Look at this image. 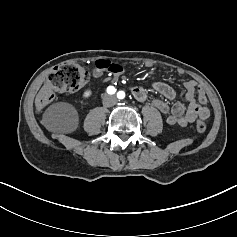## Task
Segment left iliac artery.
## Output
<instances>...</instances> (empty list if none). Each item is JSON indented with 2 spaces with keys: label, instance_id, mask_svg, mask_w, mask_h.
Returning <instances> with one entry per match:
<instances>
[{
  "label": "left iliac artery",
  "instance_id": "44dca946",
  "mask_svg": "<svg viewBox=\"0 0 237 237\" xmlns=\"http://www.w3.org/2000/svg\"><path fill=\"white\" fill-rule=\"evenodd\" d=\"M117 97H118L119 99H123V98L125 97V92H124V91H119V92L117 93Z\"/></svg>",
  "mask_w": 237,
  "mask_h": 237
}]
</instances>
